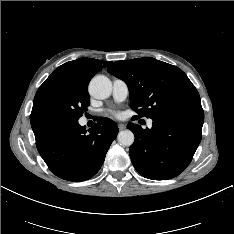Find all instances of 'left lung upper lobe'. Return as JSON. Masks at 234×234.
<instances>
[{
  "mask_svg": "<svg viewBox=\"0 0 234 234\" xmlns=\"http://www.w3.org/2000/svg\"><path fill=\"white\" fill-rule=\"evenodd\" d=\"M107 71L127 83L130 107L139 116L154 119L201 107L195 86L181 69L171 64L143 57L114 62Z\"/></svg>",
  "mask_w": 234,
  "mask_h": 234,
  "instance_id": "obj_1",
  "label": "left lung upper lobe"
}]
</instances>
